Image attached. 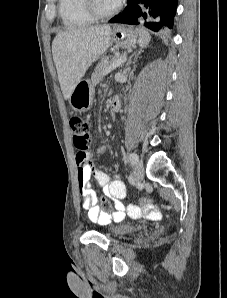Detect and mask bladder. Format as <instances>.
I'll return each mask as SVG.
<instances>
[{"mask_svg":"<svg viewBox=\"0 0 227 298\" xmlns=\"http://www.w3.org/2000/svg\"><path fill=\"white\" fill-rule=\"evenodd\" d=\"M101 229L107 235L120 236L136 231L138 226L127 222H112L102 225Z\"/></svg>","mask_w":227,"mask_h":298,"instance_id":"1","label":"bladder"}]
</instances>
